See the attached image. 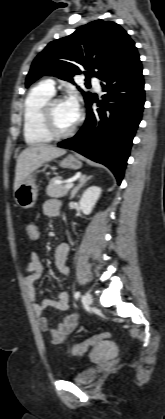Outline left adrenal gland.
I'll return each mask as SVG.
<instances>
[{"instance_id":"1","label":"left adrenal gland","mask_w":165,"mask_h":419,"mask_svg":"<svg viewBox=\"0 0 165 419\" xmlns=\"http://www.w3.org/2000/svg\"><path fill=\"white\" fill-rule=\"evenodd\" d=\"M91 178L92 176H86V175L81 176L79 178L78 185L71 192L70 199H72L76 195V193L80 190V188L83 187L86 184V182L90 180Z\"/></svg>"}]
</instances>
